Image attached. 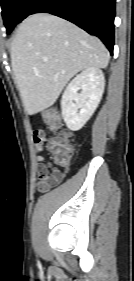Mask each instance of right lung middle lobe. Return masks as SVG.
<instances>
[{
    "mask_svg": "<svg viewBox=\"0 0 134 281\" xmlns=\"http://www.w3.org/2000/svg\"><path fill=\"white\" fill-rule=\"evenodd\" d=\"M32 0H1L2 16L7 33L23 20L26 8Z\"/></svg>",
    "mask_w": 134,
    "mask_h": 281,
    "instance_id": "right-lung-middle-lobe-1",
    "label": "right lung middle lobe"
}]
</instances>
